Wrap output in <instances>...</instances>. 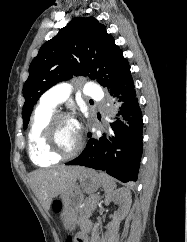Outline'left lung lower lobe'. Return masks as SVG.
<instances>
[{"instance_id":"0a47b994","label":"left lung lower lobe","mask_w":187,"mask_h":242,"mask_svg":"<svg viewBox=\"0 0 187 242\" xmlns=\"http://www.w3.org/2000/svg\"><path fill=\"white\" fill-rule=\"evenodd\" d=\"M109 92L119 104L117 115L101 138H92L89 133L86 148L67 165L102 170L124 183L136 181L143 150V121L132 75Z\"/></svg>"}]
</instances>
